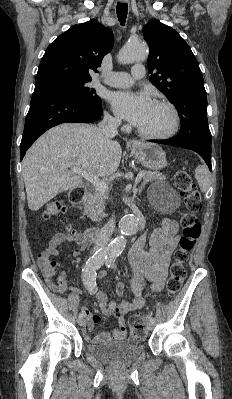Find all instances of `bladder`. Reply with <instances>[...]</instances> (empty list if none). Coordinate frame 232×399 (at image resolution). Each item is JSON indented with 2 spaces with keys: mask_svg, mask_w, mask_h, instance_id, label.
I'll return each mask as SVG.
<instances>
[{
  "mask_svg": "<svg viewBox=\"0 0 232 399\" xmlns=\"http://www.w3.org/2000/svg\"><path fill=\"white\" fill-rule=\"evenodd\" d=\"M87 352L96 359L110 365H126L134 362L144 352V346L123 340L89 343Z\"/></svg>",
  "mask_w": 232,
  "mask_h": 399,
  "instance_id": "bladder-1",
  "label": "bladder"
}]
</instances>
